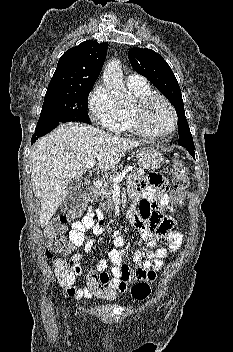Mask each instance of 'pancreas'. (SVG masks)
I'll list each match as a JSON object with an SVG mask.
<instances>
[{
	"instance_id": "1",
	"label": "pancreas",
	"mask_w": 233,
	"mask_h": 352,
	"mask_svg": "<svg viewBox=\"0 0 233 352\" xmlns=\"http://www.w3.org/2000/svg\"><path fill=\"white\" fill-rule=\"evenodd\" d=\"M128 178L130 181L142 180L144 178V171L142 169H134L129 173ZM114 185L115 183L113 182V178L109 180H104L103 182V187L101 190L102 199L100 203V207L103 210L109 211L114 207L112 201Z\"/></svg>"
}]
</instances>
